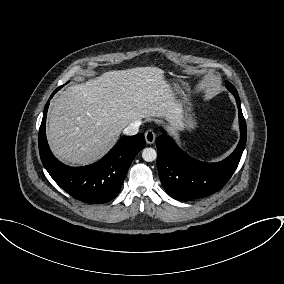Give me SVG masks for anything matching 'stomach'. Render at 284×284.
<instances>
[{"label":"stomach","instance_id":"obj_1","mask_svg":"<svg viewBox=\"0 0 284 284\" xmlns=\"http://www.w3.org/2000/svg\"><path fill=\"white\" fill-rule=\"evenodd\" d=\"M182 109V128L192 131L197 126L194 114L191 112L190 86L186 81L177 79L171 83Z\"/></svg>","mask_w":284,"mask_h":284}]
</instances>
